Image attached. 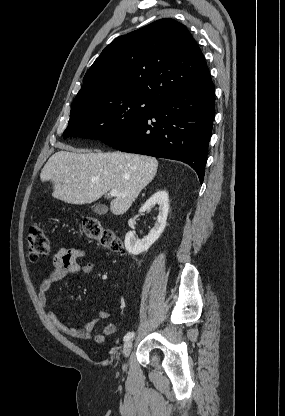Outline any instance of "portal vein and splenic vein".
Here are the masks:
<instances>
[{
  "label": "portal vein and splenic vein",
  "instance_id": "18ae733b",
  "mask_svg": "<svg viewBox=\"0 0 285 416\" xmlns=\"http://www.w3.org/2000/svg\"><path fill=\"white\" fill-rule=\"evenodd\" d=\"M110 196H126V194H118L117 190H110Z\"/></svg>",
  "mask_w": 285,
  "mask_h": 416
}]
</instances>
